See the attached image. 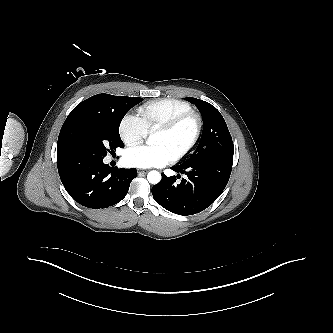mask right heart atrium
Wrapping results in <instances>:
<instances>
[{"instance_id":"obj_1","label":"right heart atrium","mask_w":333,"mask_h":333,"mask_svg":"<svg viewBox=\"0 0 333 333\" xmlns=\"http://www.w3.org/2000/svg\"><path fill=\"white\" fill-rule=\"evenodd\" d=\"M119 135L127 146L141 143L147 136V128L139 116L125 114L119 123Z\"/></svg>"}]
</instances>
